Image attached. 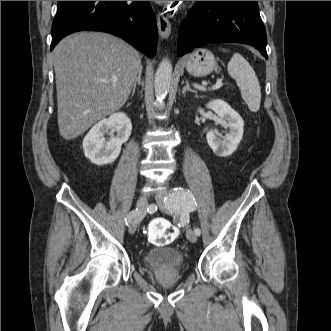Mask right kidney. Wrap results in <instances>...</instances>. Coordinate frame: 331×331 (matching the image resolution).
Returning a JSON list of instances; mask_svg holds the SVG:
<instances>
[{"label": "right kidney", "instance_id": "ca27d5eb", "mask_svg": "<svg viewBox=\"0 0 331 331\" xmlns=\"http://www.w3.org/2000/svg\"><path fill=\"white\" fill-rule=\"evenodd\" d=\"M114 128L116 136L109 141L104 134ZM132 124L125 113H115L94 125L83 140L84 154L96 165L113 163L120 154L121 146L131 135Z\"/></svg>", "mask_w": 331, "mask_h": 331}]
</instances>
